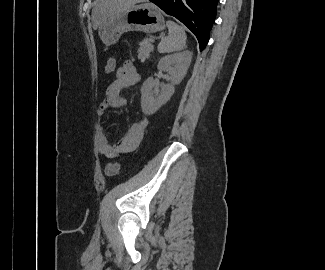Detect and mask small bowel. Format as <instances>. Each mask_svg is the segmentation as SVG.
<instances>
[{"mask_svg": "<svg viewBox=\"0 0 325 270\" xmlns=\"http://www.w3.org/2000/svg\"><path fill=\"white\" fill-rule=\"evenodd\" d=\"M140 82V75L130 61L125 62L115 70V79L106 91V98L100 103L97 114L101 119L110 108H120L127 104V99L121 95L123 89L133 87ZM147 126V121L141 119L131 124L125 135L116 144L109 143L108 133L102 128L97 137L98 152L105 158H116L122 154L134 151L140 144Z\"/></svg>", "mask_w": 325, "mask_h": 270, "instance_id": "c3829d8e", "label": "small bowel"}]
</instances>
